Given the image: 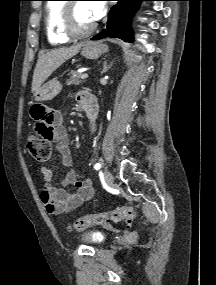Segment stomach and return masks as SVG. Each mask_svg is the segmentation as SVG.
Here are the masks:
<instances>
[{"instance_id":"0dacf381","label":"stomach","mask_w":216,"mask_h":285,"mask_svg":"<svg viewBox=\"0 0 216 285\" xmlns=\"http://www.w3.org/2000/svg\"><path fill=\"white\" fill-rule=\"evenodd\" d=\"M108 51V46L99 42H88L82 49V56L87 59H98L102 54ZM62 85L57 79H52L43 84L35 93V101H50L61 91Z\"/></svg>"}]
</instances>
